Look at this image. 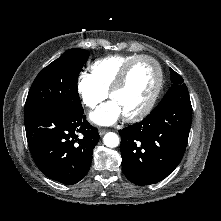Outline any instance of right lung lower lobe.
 Wrapping results in <instances>:
<instances>
[{"instance_id":"right-lung-lower-lobe-1","label":"right lung lower lobe","mask_w":221,"mask_h":221,"mask_svg":"<svg viewBox=\"0 0 221 221\" xmlns=\"http://www.w3.org/2000/svg\"><path fill=\"white\" fill-rule=\"evenodd\" d=\"M24 123L31 155L44 175L66 185L85 177L100 136L84 110L46 108L25 115Z\"/></svg>"}]
</instances>
